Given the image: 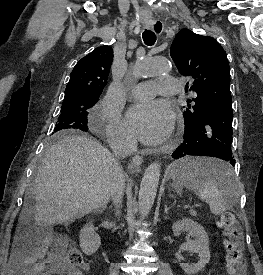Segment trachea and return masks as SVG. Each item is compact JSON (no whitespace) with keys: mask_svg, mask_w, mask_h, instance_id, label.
<instances>
[{"mask_svg":"<svg viewBox=\"0 0 263 275\" xmlns=\"http://www.w3.org/2000/svg\"><path fill=\"white\" fill-rule=\"evenodd\" d=\"M143 41L146 45L151 46L156 42V35L151 30H145L142 34Z\"/></svg>","mask_w":263,"mask_h":275,"instance_id":"trachea-1","label":"trachea"}]
</instances>
